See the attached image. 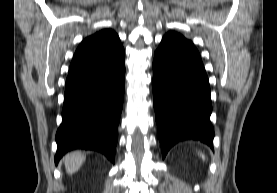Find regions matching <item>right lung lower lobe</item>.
Segmentation results:
<instances>
[{
    "mask_svg": "<svg viewBox=\"0 0 277 193\" xmlns=\"http://www.w3.org/2000/svg\"><path fill=\"white\" fill-rule=\"evenodd\" d=\"M124 89V49L97 65L69 71L56 164L77 148L99 151L114 163Z\"/></svg>",
    "mask_w": 277,
    "mask_h": 193,
    "instance_id": "right-lung-lower-lobe-1",
    "label": "right lung lower lobe"
}]
</instances>
